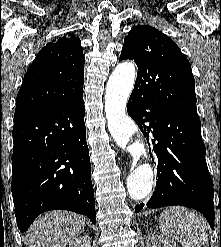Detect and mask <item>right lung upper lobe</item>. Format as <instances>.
Instances as JSON below:
<instances>
[{"instance_id": "cb5924a9", "label": "right lung upper lobe", "mask_w": 221, "mask_h": 247, "mask_svg": "<svg viewBox=\"0 0 221 247\" xmlns=\"http://www.w3.org/2000/svg\"><path fill=\"white\" fill-rule=\"evenodd\" d=\"M85 58L74 34L43 47L28 68L14 117L66 104L83 95Z\"/></svg>"}]
</instances>
